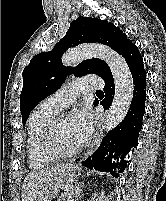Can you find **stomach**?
Returning a JSON list of instances; mask_svg holds the SVG:
<instances>
[{
    "label": "stomach",
    "mask_w": 166,
    "mask_h": 201,
    "mask_svg": "<svg viewBox=\"0 0 166 201\" xmlns=\"http://www.w3.org/2000/svg\"><path fill=\"white\" fill-rule=\"evenodd\" d=\"M77 174V167L66 165L60 167L39 189L35 201H51L63 186L70 185Z\"/></svg>",
    "instance_id": "1"
}]
</instances>
